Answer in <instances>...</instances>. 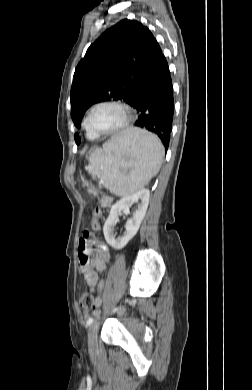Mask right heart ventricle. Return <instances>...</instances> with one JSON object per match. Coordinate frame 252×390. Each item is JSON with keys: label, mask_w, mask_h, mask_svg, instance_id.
I'll list each match as a JSON object with an SVG mask.
<instances>
[{"label": "right heart ventricle", "mask_w": 252, "mask_h": 390, "mask_svg": "<svg viewBox=\"0 0 252 390\" xmlns=\"http://www.w3.org/2000/svg\"><path fill=\"white\" fill-rule=\"evenodd\" d=\"M84 127H85V130H86V135L87 137L90 139V140H95L97 139L99 136L96 135L95 133H93L92 131H90L88 128H87V124H86V119L84 121Z\"/></svg>", "instance_id": "obj_1"}]
</instances>
